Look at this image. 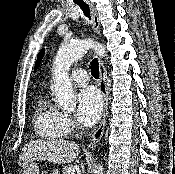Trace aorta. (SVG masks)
Returning <instances> with one entry per match:
<instances>
[{"instance_id": "762f6f07", "label": "aorta", "mask_w": 175, "mask_h": 174, "mask_svg": "<svg viewBox=\"0 0 175 174\" xmlns=\"http://www.w3.org/2000/svg\"><path fill=\"white\" fill-rule=\"evenodd\" d=\"M91 48L99 56H106L105 48L91 39L63 44L57 51L53 62L54 83L52 85V92L58 105L66 109H74L76 107V97L69 78L70 67ZM95 174H104L102 165L97 167Z\"/></svg>"}]
</instances>
